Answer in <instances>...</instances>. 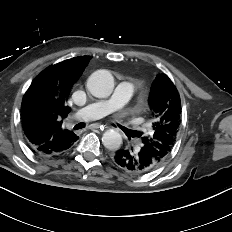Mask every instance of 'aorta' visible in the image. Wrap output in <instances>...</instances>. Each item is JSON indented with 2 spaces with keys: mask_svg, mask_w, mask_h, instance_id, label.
I'll return each instance as SVG.
<instances>
[{
  "mask_svg": "<svg viewBox=\"0 0 232 232\" xmlns=\"http://www.w3.org/2000/svg\"><path fill=\"white\" fill-rule=\"evenodd\" d=\"M114 87V79L110 72L100 70L93 73L87 82L90 93L98 98L110 96ZM102 143L109 150H117L122 144V136L116 130L109 129L104 132Z\"/></svg>",
  "mask_w": 232,
  "mask_h": 232,
  "instance_id": "1",
  "label": "aorta"
}]
</instances>
